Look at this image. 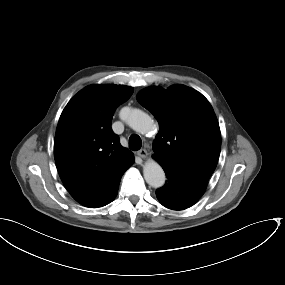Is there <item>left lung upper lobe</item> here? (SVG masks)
Listing matches in <instances>:
<instances>
[{
    "label": "left lung upper lobe",
    "mask_w": 285,
    "mask_h": 285,
    "mask_svg": "<svg viewBox=\"0 0 285 285\" xmlns=\"http://www.w3.org/2000/svg\"><path fill=\"white\" fill-rule=\"evenodd\" d=\"M137 100L160 125L154 158L209 179L219 159L221 133L208 100L184 85L149 87L137 94Z\"/></svg>",
    "instance_id": "left-lung-upper-lobe-1"
}]
</instances>
